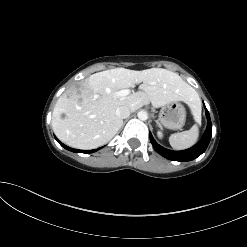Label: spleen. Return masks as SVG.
I'll return each instance as SVG.
<instances>
[{
    "label": "spleen",
    "instance_id": "obj_1",
    "mask_svg": "<svg viewBox=\"0 0 247 247\" xmlns=\"http://www.w3.org/2000/svg\"><path fill=\"white\" fill-rule=\"evenodd\" d=\"M192 114L197 123L201 122V104L198 97V103L191 106ZM199 129L197 124L193 125L189 130L172 134L169 137V143L175 150H184L193 146L198 139Z\"/></svg>",
    "mask_w": 247,
    "mask_h": 247
}]
</instances>
